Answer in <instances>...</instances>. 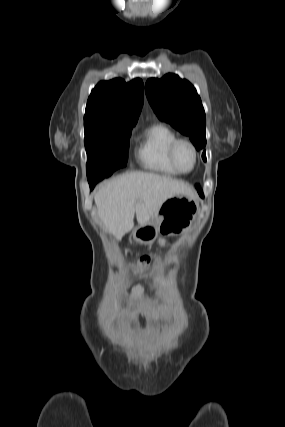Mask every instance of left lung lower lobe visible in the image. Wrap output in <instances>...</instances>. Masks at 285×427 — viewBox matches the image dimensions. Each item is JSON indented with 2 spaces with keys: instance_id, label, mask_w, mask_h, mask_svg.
Returning a JSON list of instances; mask_svg holds the SVG:
<instances>
[{
  "instance_id": "obj_1",
  "label": "left lung lower lobe",
  "mask_w": 285,
  "mask_h": 427,
  "mask_svg": "<svg viewBox=\"0 0 285 427\" xmlns=\"http://www.w3.org/2000/svg\"><path fill=\"white\" fill-rule=\"evenodd\" d=\"M197 190H198V192H199V195L203 198L204 197V195H203V193H202V191L200 190V188L197 186Z\"/></svg>"
}]
</instances>
